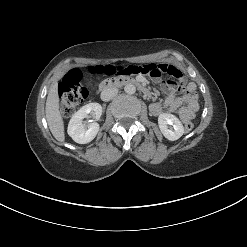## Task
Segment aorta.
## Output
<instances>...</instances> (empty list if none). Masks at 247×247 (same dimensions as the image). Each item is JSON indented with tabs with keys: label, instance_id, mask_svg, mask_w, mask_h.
Segmentation results:
<instances>
[{
	"label": "aorta",
	"instance_id": "1",
	"mask_svg": "<svg viewBox=\"0 0 247 247\" xmlns=\"http://www.w3.org/2000/svg\"><path fill=\"white\" fill-rule=\"evenodd\" d=\"M124 91L127 93V94H134L136 92V87L135 85L133 84H127L125 85L124 87Z\"/></svg>",
	"mask_w": 247,
	"mask_h": 247
}]
</instances>
